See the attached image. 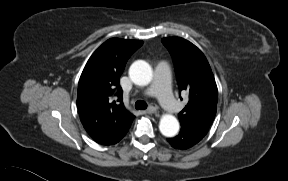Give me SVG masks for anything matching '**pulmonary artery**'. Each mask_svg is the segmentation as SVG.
<instances>
[{"label": "pulmonary artery", "instance_id": "e3ab8cb5", "mask_svg": "<svg viewBox=\"0 0 288 181\" xmlns=\"http://www.w3.org/2000/svg\"><path fill=\"white\" fill-rule=\"evenodd\" d=\"M143 96H156L161 106L169 113L180 110V104L175 100L170 88V67L165 61L158 63L155 71V82L142 92Z\"/></svg>", "mask_w": 288, "mask_h": 181}]
</instances>
